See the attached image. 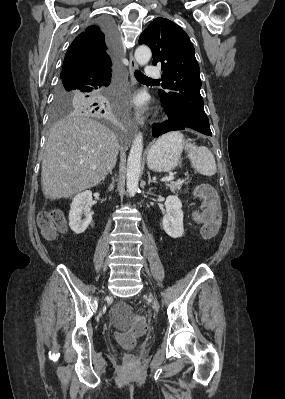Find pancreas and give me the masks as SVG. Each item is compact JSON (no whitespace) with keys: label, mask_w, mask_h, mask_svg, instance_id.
<instances>
[{"label":"pancreas","mask_w":285,"mask_h":399,"mask_svg":"<svg viewBox=\"0 0 285 399\" xmlns=\"http://www.w3.org/2000/svg\"><path fill=\"white\" fill-rule=\"evenodd\" d=\"M183 183H187V182H184V181H181V180H180V181H176V182H169V183H166V186H167L173 193H175V192L181 190Z\"/></svg>","instance_id":"obj_1"}]
</instances>
